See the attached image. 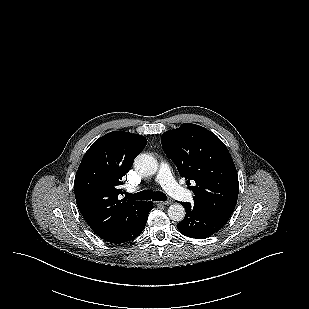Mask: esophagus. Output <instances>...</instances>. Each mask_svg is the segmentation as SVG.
Here are the masks:
<instances>
[{
	"instance_id": "obj_1",
	"label": "esophagus",
	"mask_w": 309,
	"mask_h": 309,
	"mask_svg": "<svg viewBox=\"0 0 309 309\" xmlns=\"http://www.w3.org/2000/svg\"><path fill=\"white\" fill-rule=\"evenodd\" d=\"M172 201L155 202L156 205H170Z\"/></svg>"
}]
</instances>
